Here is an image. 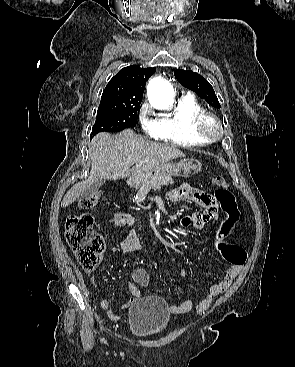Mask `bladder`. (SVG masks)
Instances as JSON below:
<instances>
[{
	"mask_svg": "<svg viewBox=\"0 0 295 367\" xmlns=\"http://www.w3.org/2000/svg\"><path fill=\"white\" fill-rule=\"evenodd\" d=\"M171 319L167 302L158 296H146L136 300L128 312L131 334L139 338L161 335Z\"/></svg>",
	"mask_w": 295,
	"mask_h": 367,
	"instance_id": "obj_1",
	"label": "bladder"
}]
</instances>
